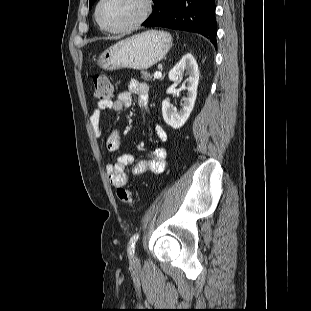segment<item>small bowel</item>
Instances as JSON below:
<instances>
[{
	"instance_id": "small-bowel-1",
	"label": "small bowel",
	"mask_w": 311,
	"mask_h": 311,
	"mask_svg": "<svg viewBox=\"0 0 311 311\" xmlns=\"http://www.w3.org/2000/svg\"><path fill=\"white\" fill-rule=\"evenodd\" d=\"M133 95L137 97L138 104L143 112L150 115L149 107V88L148 85L136 79L130 80L128 90L118 94L115 100L98 102L93 109L89 124L96 137L101 135V119L103 112L110 109L114 112H121L124 108L129 107L132 103ZM154 133L159 141L166 142L168 134L160 126H154ZM121 138L117 129L112 130L106 138V148L110 152H115L120 148ZM167 151L163 147L155 148L151 151L148 158L135 161L131 154H121L117 156L114 162L106 165V174L109 182L114 187L124 186L129 176H141L147 173H161L165 167Z\"/></svg>"
}]
</instances>
